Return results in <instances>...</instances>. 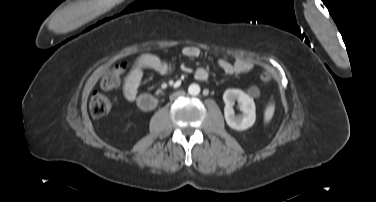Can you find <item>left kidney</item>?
<instances>
[{
	"label": "left kidney",
	"instance_id": "5707ae66",
	"mask_svg": "<svg viewBox=\"0 0 376 202\" xmlns=\"http://www.w3.org/2000/svg\"><path fill=\"white\" fill-rule=\"evenodd\" d=\"M225 103L224 116L226 123L235 130H246L253 126L256 120L254 100L239 89H227L223 94ZM235 101L241 106L243 114L236 116L232 106Z\"/></svg>",
	"mask_w": 376,
	"mask_h": 202
}]
</instances>
